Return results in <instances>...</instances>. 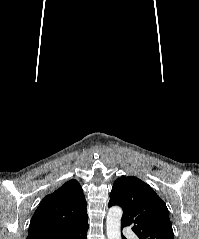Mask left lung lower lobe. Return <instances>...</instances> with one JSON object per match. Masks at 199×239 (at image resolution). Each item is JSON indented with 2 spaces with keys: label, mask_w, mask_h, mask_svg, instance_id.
<instances>
[{
  "label": "left lung lower lobe",
  "mask_w": 199,
  "mask_h": 239,
  "mask_svg": "<svg viewBox=\"0 0 199 239\" xmlns=\"http://www.w3.org/2000/svg\"><path fill=\"white\" fill-rule=\"evenodd\" d=\"M122 228V227H121ZM122 239H126L123 235H122Z\"/></svg>",
  "instance_id": "0a47b994"
}]
</instances>
